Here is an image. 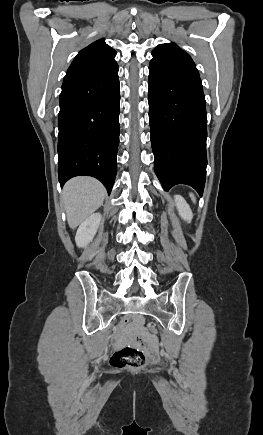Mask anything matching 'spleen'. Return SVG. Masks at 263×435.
<instances>
[{"mask_svg": "<svg viewBox=\"0 0 263 435\" xmlns=\"http://www.w3.org/2000/svg\"><path fill=\"white\" fill-rule=\"evenodd\" d=\"M190 197L192 198V200L195 202V196L193 193H190Z\"/></svg>", "mask_w": 263, "mask_h": 435, "instance_id": "spleen-1", "label": "spleen"}]
</instances>
